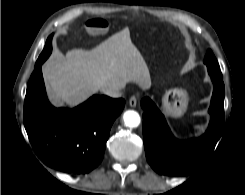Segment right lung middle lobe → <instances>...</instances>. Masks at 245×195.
Masks as SVG:
<instances>
[{"mask_svg": "<svg viewBox=\"0 0 245 195\" xmlns=\"http://www.w3.org/2000/svg\"><path fill=\"white\" fill-rule=\"evenodd\" d=\"M51 50H52V46L45 44V47L42 53L40 54L35 66H37L38 64H42L49 57Z\"/></svg>", "mask_w": 245, "mask_h": 195, "instance_id": "right-lung-middle-lobe-1", "label": "right lung middle lobe"}]
</instances>
